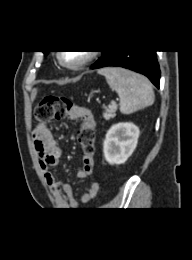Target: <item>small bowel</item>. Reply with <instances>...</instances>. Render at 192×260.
I'll return each mask as SVG.
<instances>
[{"mask_svg": "<svg viewBox=\"0 0 192 260\" xmlns=\"http://www.w3.org/2000/svg\"><path fill=\"white\" fill-rule=\"evenodd\" d=\"M70 119L81 120V118L75 116ZM89 121L91 126L95 128V120L91 112H89ZM32 137L38 155L40 168L58 207L64 209H76L78 207V201L73 195L72 187L70 184L59 180L52 171V167L59 163L62 155L54 133L48 126L41 124L33 129ZM93 170V156H83V167L78 171L77 177L79 179H86L92 175ZM98 191V182H92L89 185L88 190L82 194L80 199L81 202L83 204H88L96 197Z\"/></svg>", "mask_w": 192, "mask_h": 260, "instance_id": "1", "label": "small bowel"}]
</instances>
